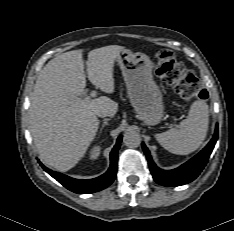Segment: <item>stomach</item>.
<instances>
[{"instance_id":"stomach-1","label":"stomach","mask_w":234,"mask_h":231,"mask_svg":"<svg viewBox=\"0 0 234 231\" xmlns=\"http://www.w3.org/2000/svg\"><path fill=\"white\" fill-rule=\"evenodd\" d=\"M116 60L134 111L145 124H158L164 116V103L162 92L153 78V63L149 56L124 49Z\"/></svg>"}]
</instances>
